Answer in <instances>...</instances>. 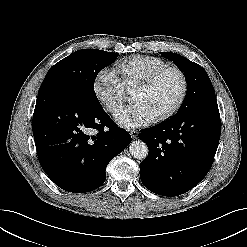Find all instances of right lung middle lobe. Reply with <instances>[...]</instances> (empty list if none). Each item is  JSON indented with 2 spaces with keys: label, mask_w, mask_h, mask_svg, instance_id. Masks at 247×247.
I'll return each mask as SVG.
<instances>
[{
  "label": "right lung middle lobe",
  "mask_w": 247,
  "mask_h": 247,
  "mask_svg": "<svg viewBox=\"0 0 247 247\" xmlns=\"http://www.w3.org/2000/svg\"><path fill=\"white\" fill-rule=\"evenodd\" d=\"M117 57V53L97 49L78 50L48 71L39 92L58 87L70 88L83 95L89 103L100 105L94 91L95 78Z\"/></svg>",
  "instance_id": "dd1d6c3e"
}]
</instances>
